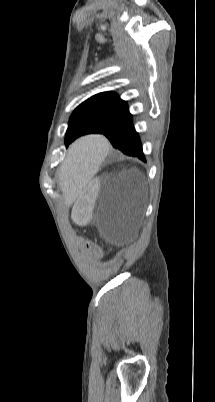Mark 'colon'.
Segmentation results:
<instances>
[{
	"label": "colon",
	"mask_w": 215,
	"mask_h": 402,
	"mask_svg": "<svg viewBox=\"0 0 215 402\" xmlns=\"http://www.w3.org/2000/svg\"><path fill=\"white\" fill-rule=\"evenodd\" d=\"M74 241L76 243L80 244L81 249L88 250L89 254V259L90 260H102L104 257V254L102 251H91L95 248V245L93 243H89L87 239H83L80 236H76L74 238Z\"/></svg>",
	"instance_id": "5ec220e1"
}]
</instances>
